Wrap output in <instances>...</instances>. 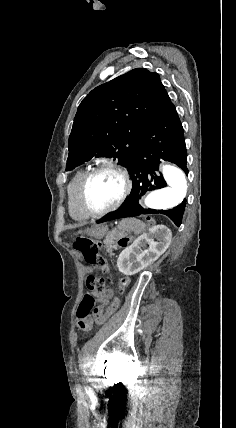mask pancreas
Here are the masks:
<instances>
[{
  "instance_id": "pancreas-1",
  "label": "pancreas",
  "mask_w": 236,
  "mask_h": 428,
  "mask_svg": "<svg viewBox=\"0 0 236 428\" xmlns=\"http://www.w3.org/2000/svg\"><path fill=\"white\" fill-rule=\"evenodd\" d=\"M113 250L115 248V246H112ZM110 256H114V254H112V252H110Z\"/></svg>"
}]
</instances>
